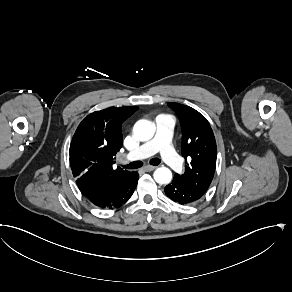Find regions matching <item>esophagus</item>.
Segmentation results:
<instances>
[{"instance_id": "esophagus-1", "label": "esophagus", "mask_w": 292, "mask_h": 292, "mask_svg": "<svg viewBox=\"0 0 292 292\" xmlns=\"http://www.w3.org/2000/svg\"><path fill=\"white\" fill-rule=\"evenodd\" d=\"M156 168H157L156 166L146 165L143 167V170L146 172H151V171L155 170Z\"/></svg>"}]
</instances>
